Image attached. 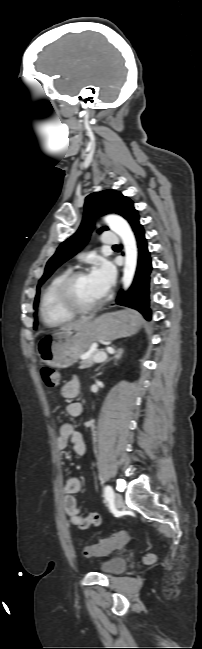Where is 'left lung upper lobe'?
Segmentation results:
<instances>
[{
  "instance_id": "5c2ea615",
  "label": "left lung upper lobe",
  "mask_w": 202,
  "mask_h": 649,
  "mask_svg": "<svg viewBox=\"0 0 202 649\" xmlns=\"http://www.w3.org/2000/svg\"><path fill=\"white\" fill-rule=\"evenodd\" d=\"M84 207V217L79 229L72 237L64 241L58 247L56 253L46 264L44 274L39 280L37 286L34 309H37L39 303L40 286L62 263L74 256L87 243L93 229L95 218L114 212L120 214L130 222L133 217L138 215V212L134 208L133 201L122 195L121 192L115 190H104L88 195L85 199ZM107 229V227H103L99 229L98 232ZM36 326L37 321L34 323V328H36Z\"/></svg>"
}]
</instances>
